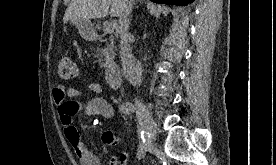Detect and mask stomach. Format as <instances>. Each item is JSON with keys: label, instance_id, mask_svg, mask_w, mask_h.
<instances>
[{"label": "stomach", "instance_id": "1", "mask_svg": "<svg viewBox=\"0 0 276 165\" xmlns=\"http://www.w3.org/2000/svg\"><path fill=\"white\" fill-rule=\"evenodd\" d=\"M71 23L76 26L80 35L85 40H93L95 37V30L90 19H72Z\"/></svg>", "mask_w": 276, "mask_h": 165}]
</instances>
